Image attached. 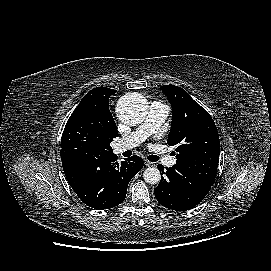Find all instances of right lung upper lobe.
Wrapping results in <instances>:
<instances>
[{
    "label": "right lung upper lobe",
    "mask_w": 271,
    "mask_h": 271,
    "mask_svg": "<svg viewBox=\"0 0 271 271\" xmlns=\"http://www.w3.org/2000/svg\"><path fill=\"white\" fill-rule=\"evenodd\" d=\"M103 88H105V87H102V88L97 87V88H94V89H92L91 91H89V92L84 96V98L81 100V103L88 102V100L92 97V95H93L96 91H98V90H100V89H103Z\"/></svg>",
    "instance_id": "cb5924a9"
}]
</instances>
